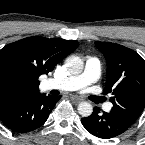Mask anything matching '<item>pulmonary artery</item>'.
Listing matches in <instances>:
<instances>
[{"label":"pulmonary artery","instance_id":"e3ab8cb5","mask_svg":"<svg viewBox=\"0 0 145 145\" xmlns=\"http://www.w3.org/2000/svg\"><path fill=\"white\" fill-rule=\"evenodd\" d=\"M100 74V61L95 57H88L86 59L85 69L81 74L64 78H51L44 82V86L47 89H59L67 91L77 90L98 81ZM111 108L112 105L110 103H107L103 106L105 111H110Z\"/></svg>","mask_w":145,"mask_h":145}]
</instances>
